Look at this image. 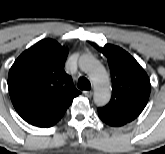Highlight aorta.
<instances>
[{
	"mask_svg": "<svg viewBox=\"0 0 165 154\" xmlns=\"http://www.w3.org/2000/svg\"><path fill=\"white\" fill-rule=\"evenodd\" d=\"M79 66L94 84V103L97 106L106 105L111 98V86L105 68L89 55H84L79 59Z\"/></svg>",
	"mask_w": 165,
	"mask_h": 154,
	"instance_id": "762f6f07",
	"label": "aorta"
}]
</instances>
